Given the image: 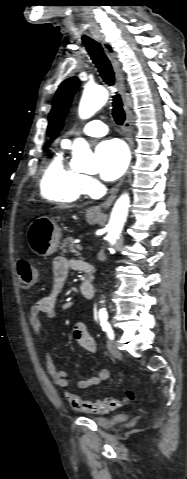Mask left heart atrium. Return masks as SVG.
I'll return each instance as SVG.
<instances>
[{
  "mask_svg": "<svg viewBox=\"0 0 187 479\" xmlns=\"http://www.w3.org/2000/svg\"><path fill=\"white\" fill-rule=\"evenodd\" d=\"M96 155L100 162V176L105 181L117 179L127 167V149L118 139H108L99 143Z\"/></svg>",
  "mask_w": 187,
  "mask_h": 479,
  "instance_id": "obj_1",
  "label": "left heart atrium"
}]
</instances>
